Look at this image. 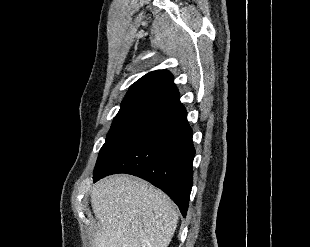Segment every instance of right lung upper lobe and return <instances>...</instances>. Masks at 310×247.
I'll return each mask as SVG.
<instances>
[{
	"mask_svg": "<svg viewBox=\"0 0 310 247\" xmlns=\"http://www.w3.org/2000/svg\"><path fill=\"white\" fill-rule=\"evenodd\" d=\"M179 102L172 74L167 70H156L144 75L129 88L121 109L149 108L160 113Z\"/></svg>",
	"mask_w": 310,
	"mask_h": 247,
	"instance_id": "obj_1",
	"label": "right lung upper lobe"
}]
</instances>
